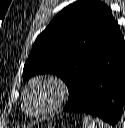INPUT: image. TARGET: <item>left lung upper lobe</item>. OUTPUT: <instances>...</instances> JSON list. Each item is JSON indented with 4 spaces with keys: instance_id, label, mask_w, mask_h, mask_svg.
<instances>
[{
    "instance_id": "1",
    "label": "left lung upper lobe",
    "mask_w": 125,
    "mask_h": 128,
    "mask_svg": "<svg viewBox=\"0 0 125 128\" xmlns=\"http://www.w3.org/2000/svg\"><path fill=\"white\" fill-rule=\"evenodd\" d=\"M122 34L110 8L99 0H79L61 10L37 37L24 65V78L52 73L66 83L69 105L89 71Z\"/></svg>"
}]
</instances>
